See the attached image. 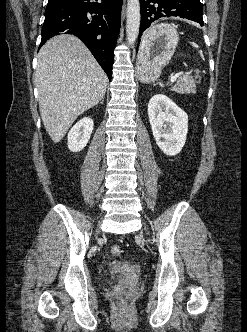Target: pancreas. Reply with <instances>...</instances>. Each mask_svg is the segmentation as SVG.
<instances>
[{
	"label": "pancreas",
	"mask_w": 247,
	"mask_h": 332,
	"mask_svg": "<svg viewBox=\"0 0 247 332\" xmlns=\"http://www.w3.org/2000/svg\"><path fill=\"white\" fill-rule=\"evenodd\" d=\"M195 89V84L191 76L183 75L177 82L174 91L190 93Z\"/></svg>",
	"instance_id": "cf45deb5"
}]
</instances>
